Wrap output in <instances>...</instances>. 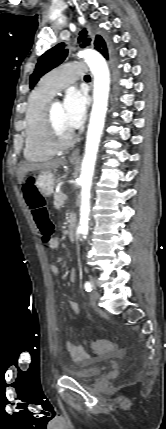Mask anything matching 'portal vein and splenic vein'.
<instances>
[{
    "label": "portal vein and splenic vein",
    "instance_id": "portal-vein-and-splenic-vein-1",
    "mask_svg": "<svg viewBox=\"0 0 166 429\" xmlns=\"http://www.w3.org/2000/svg\"><path fill=\"white\" fill-rule=\"evenodd\" d=\"M63 199H64V200H66V199H67V196H66V195H64V196H63Z\"/></svg>",
    "mask_w": 166,
    "mask_h": 429
}]
</instances>
